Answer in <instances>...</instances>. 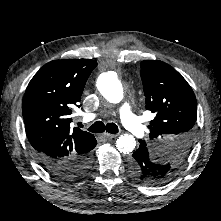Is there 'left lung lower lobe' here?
Listing matches in <instances>:
<instances>
[{
	"label": "left lung lower lobe",
	"mask_w": 221,
	"mask_h": 221,
	"mask_svg": "<svg viewBox=\"0 0 221 221\" xmlns=\"http://www.w3.org/2000/svg\"><path fill=\"white\" fill-rule=\"evenodd\" d=\"M129 160V170L134 178L144 184L155 185L157 177L163 169L154 162L151 153L143 141Z\"/></svg>",
	"instance_id": "left-lung-lower-lobe-1"
}]
</instances>
